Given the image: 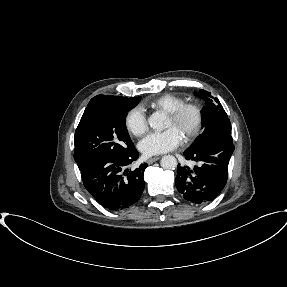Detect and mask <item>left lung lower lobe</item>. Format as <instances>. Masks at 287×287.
<instances>
[{
    "instance_id": "obj_1",
    "label": "left lung lower lobe",
    "mask_w": 287,
    "mask_h": 287,
    "mask_svg": "<svg viewBox=\"0 0 287 287\" xmlns=\"http://www.w3.org/2000/svg\"><path fill=\"white\" fill-rule=\"evenodd\" d=\"M234 148L232 137L227 136L204 148L184 152L186 159L195 161L196 165L192 169L178 165L175 183L183 197L197 204L216 198L227 182Z\"/></svg>"
}]
</instances>
